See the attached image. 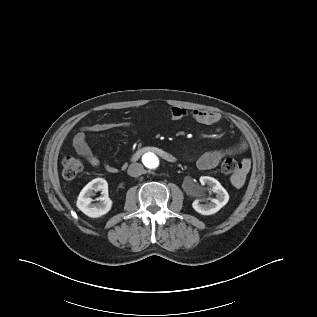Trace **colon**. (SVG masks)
<instances>
[{
  "label": "colon",
  "instance_id": "colon-1",
  "mask_svg": "<svg viewBox=\"0 0 317 317\" xmlns=\"http://www.w3.org/2000/svg\"><path fill=\"white\" fill-rule=\"evenodd\" d=\"M221 171L224 174H237L241 170V164L232 157H224L221 160ZM83 169L82 162L73 156H66L62 160V174L66 179L75 178Z\"/></svg>",
  "mask_w": 317,
  "mask_h": 317
}]
</instances>
